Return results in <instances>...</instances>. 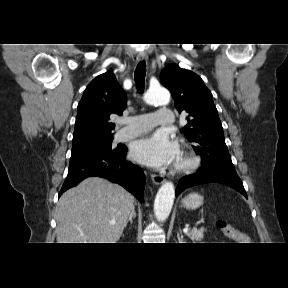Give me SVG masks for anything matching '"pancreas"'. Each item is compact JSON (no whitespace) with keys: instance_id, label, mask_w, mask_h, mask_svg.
I'll return each instance as SVG.
<instances>
[{"instance_id":"pancreas-1","label":"pancreas","mask_w":288,"mask_h":288,"mask_svg":"<svg viewBox=\"0 0 288 288\" xmlns=\"http://www.w3.org/2000/svg\"><path fill=\"white\" fill-rule=\"evenodd\" d=\"M204 228L201 229H192L187 233V236L193 241H201L204 237Z\"/></svg>"}]
</instances>
